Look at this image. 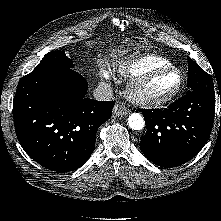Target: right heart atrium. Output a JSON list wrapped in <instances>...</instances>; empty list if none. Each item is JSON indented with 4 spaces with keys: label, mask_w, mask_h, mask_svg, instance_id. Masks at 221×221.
<instances>
[{
    "label": "right heart atrium",
    "mask_w": 221,
    "mask_h": 221,
    "mask_svg": "<svg viewBox=\"0 0 221 221\" xmlns=\"http://www.w3.org/2000/svg\"><path fill=\"white\" fill-rule=\"evenodd\" d=\"M102 76H103V77H107V76H108L107 71L103 70V71H102Z\"/></svg>",
    "instance_id": "1"
}]
</instances>
